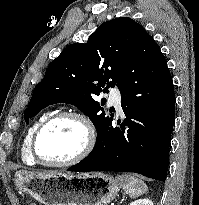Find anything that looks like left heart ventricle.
<instances>
[{"label": "left heart ventricle", "mask_w": 199, "mask_h": 205, "mask_svg": "<svg viewBox=\"0 0 199 205\" xmlns=\"http://www.w3.org/2000/svg\"><path fill=\"white\" fill-rule=\"evenodd\" d=\"M85 141L83 125L73 118H63L49 125L39 136V156L48 162H61L75 156Z\"/></svg>", "instance_id": "obj_1"}]
</instances>
